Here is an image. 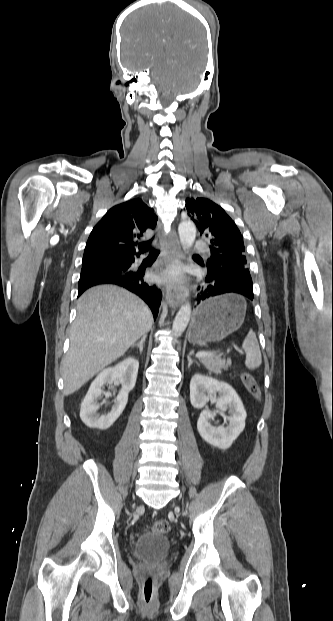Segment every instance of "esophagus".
<instances>
[{"label":"esophagus","mask_w":333,"mask_h":621,"mask_svg":"<svg viewBox=\"0 0 333 621\" xmlns=\"http://www.w3.org/2000/svg\"><path fill=\"white\" fill-rule=\"evenodd\" d=\"M164 247V258L167 264L180 263L182 258L180 243L176 233L173 231L166 236L165 241L162 238ZM187 296L184 286H176L169 284L166 293V301L170 307H178Z\"/></svg>","instance_id":"obj_1"}]
</instances>
